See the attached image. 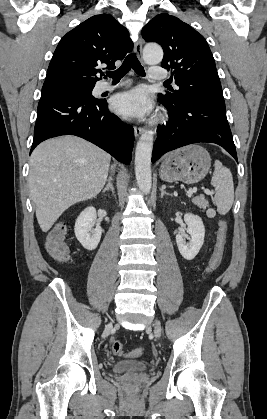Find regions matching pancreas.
Masks as SVG:
<instances>
[{"label":"pancreas","mask_w":267,"mask_h":419,"mask_svg":"<svg viewBox=\"0 0 267 419\" xmlns=\"http://www.w3.org/2000/svg\"><path fill=\"white\" fill-rule=\"evenodd\" d=\"M192 203L198 206L200 209L205 210L208 207V202L203 195L196 196L192 199Z\"/></svg>","instance_id":"obj_1"}]
</instances>
